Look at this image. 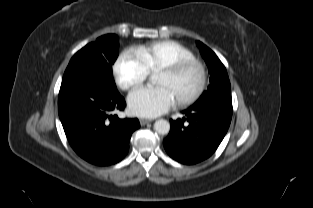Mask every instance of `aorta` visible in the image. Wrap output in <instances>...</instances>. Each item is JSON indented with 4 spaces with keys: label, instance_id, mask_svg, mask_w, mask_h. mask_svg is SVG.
I'll return each mask as SVG.
<instances>
[{
    "label": "aorta",
    "instance_id": "obj_1",
    "mask_svg": "<svg viewBox=\"0 0 313 208\" xmlns=\"http://www.w3.org/2000/svg\"><path fill=\"white\" fill-rule=\"evenodd\" d=\"M154 77H150V81L153 82ZM154 130L162 135L168 134L170 131V123L167 120L160 119L154 123Z\"/></svg>",
    "mask_w": 313,
    "mask_h": 208
}]
</instances>
